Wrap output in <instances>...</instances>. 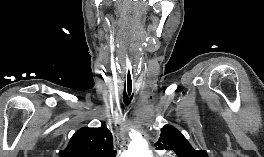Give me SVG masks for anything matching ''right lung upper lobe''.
Returning <instances> with one entry per match:
<instances>
[{
    "mask_svg": "<svg viewBox=\"0 0 264 157\" xmlns=\"http://www.w3.org/2000/svg\"><path fill=\"white\" fill-rule=\"evenodd\" d=\"M59 157H116L112 134L105 125L100 128L83 127L75 132Z\"/></svg>",
    "mask_w": 264,
    "mask_h": 157,
    "instance_id": "right-lung-upper-lobe-1",
    "label": "right lung upper lobe"
}]
</instances>
